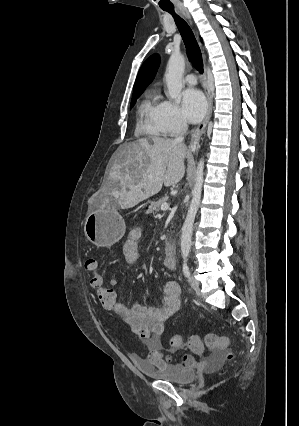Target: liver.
I'll return each instance as SVG.
<instances>
[{"label":"liver","mask_w":299,"mask_h":426,"mask_svg":"<svg viewBox=\"0 0 299 426\" xmlns=\"http://www.w3.org/2000/svg\"><path fill=\"white\" fill-rule=\"evenodd\" d=\"M187 156L185 145L168 138H141L123 144L115 153L109 184L102 191L113 197L112 207L132 208L157 194L163 185L181 181Z\"/></svg>","instance_id":"6515ba94"}]
</instances>
